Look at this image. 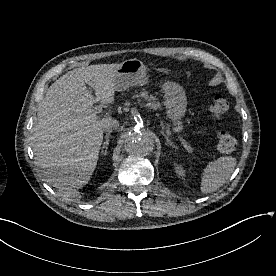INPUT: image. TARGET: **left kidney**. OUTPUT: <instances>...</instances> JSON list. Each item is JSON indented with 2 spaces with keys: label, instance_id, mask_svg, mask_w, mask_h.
I'll use <instances>...</instances> for the list:
<instances>
[{
  "label": "left kidney",
  "instance_id": "5707ae66",
  "mask_svg": "<svg viewBox=\"0 0 276 276\" xmlns=\"http://www.w3.org/2000/svg\"><path fill=\"white\" fill-rule=\"evenodd\" d=\"M175 166V172L178 176L183 177L185 176V170L183 169V167L177 163L174 164Z\"/></svg>",
  "mask_w": 276,
  "mask_h": 276
}]
</instances>
